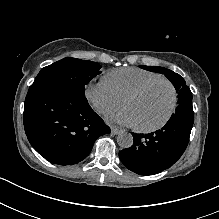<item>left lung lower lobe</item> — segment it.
Returning <instances> with one entry per match:
<instances>
[{
    "mask_svg": "<svg viewBox=\"0 0 219 219\" xmlns=\"http://www.w3.org/2000/svg\"><path fill=\"white\" fill-rule=\"evenodd\" d=\"M194 116H173L163 128L149 134L132 133L134 143L119 152L126 168L139 175H154L171 167L184 153Z\"/></svg>",
    "mask_w": 219,
    "mask_h": 219,
    "instance_id": "left-lung-lower-lobe-1",
    "label": "left lung lower lobe"
}]
</instances>
